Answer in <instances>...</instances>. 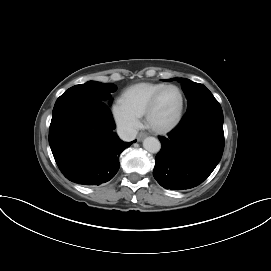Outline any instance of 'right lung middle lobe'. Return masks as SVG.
Returning <instances> with one entry per match:
<instances>
[{
    "mask_svg": "<svg viewBox=\"0 0 271 271\" xmlns=\"http://www.w3.org/2000/svg\"><path fill=\"white\" fill-rule=\"evenodd\" d=\"M116 87L109 83L87 82L66 90L56 101L54 108L81 101H105L111 97Z\"/></svg>",
    "mask_w": 271,
    "mask_h": 271,
    "instance_id": "dd1d6c3e",
    "label": "right lung middle lobe"
}]
</instances>
